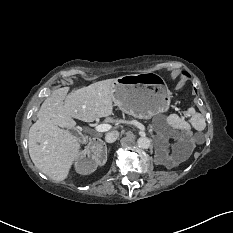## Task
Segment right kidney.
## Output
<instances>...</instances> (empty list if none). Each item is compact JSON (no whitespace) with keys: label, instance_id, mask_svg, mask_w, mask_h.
I'll return each instance as SVG.
<instances>
[{"label":"right kidney","instance_id":"obj_1","mask_svg":"<svg viewBox=\"0 0 233 233\" xmlns=\"http://www.w3.org/2000/svg\"><path fill=\"white\" fill-rule=\"evenodd\" d=\"M88 157L81 156L75 162V170L77 173L87 175L93 173L98 166H103L107 161V152H101L97 149L85 151Z\"/></svg>","mask_w":233,"mask_h":233}]
</instances>
